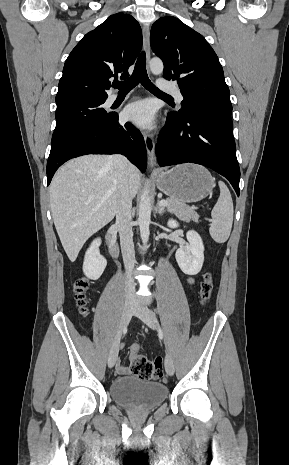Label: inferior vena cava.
<instances>
[{
	"mask_svg": "<svg viewBox=\"0 0 289 465\" xmlns=\"http://www.w3.org/2000/svg\"><path fill=\"white\" fill-rule=\"evenodd\" d=\"M110 160L118 174L116 226L119 230L122 257L127 273L125 291L126 299H128L134 297L135 293V283L132 277V270L135 263L133 232L131 226L132 198L126 175V169L129 162L124 156L119 154L110 156Z\"/></svg>",
	"mask_w": 289,
	"mask_h": 465,
	"instance_id": "obj_1",
	"label": "inferior vena cava"
}]
</instances>
